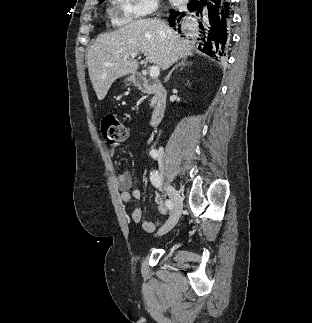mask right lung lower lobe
I'll list each match as a JSON object with an SVG mask.
<instances>
[{
  "mask_svg": "<svg viewBox=\"0 0 312 323\" xmlns=\"http://www.w3.org/2000/svg\"><path fill=\"white\" fill-rule=\"evenodd\" d=\"M232 6L229 0H191L188 10L170 12L169 24L179 33L195 30L199 50L217 58L225 55L229 42Z\"/></svg>",
  "mask_w": 312,
  "mask_h": 323,
  "instance_id": "1",
  "label": "right lung lower lobe"
}]
</instances>
